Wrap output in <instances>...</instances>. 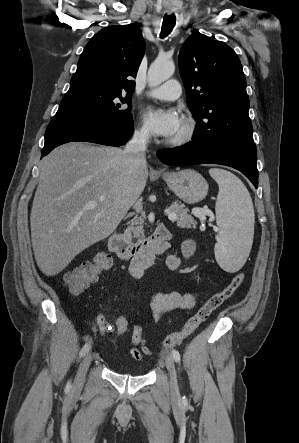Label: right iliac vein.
Returning a JSON list of instances; mask_svg holds the SVG:
<instances>
[{"label": "right iliac vein", "mask_w": 299, "mask_h": 443, "mask_svg": "<svg viewBox=\"0 0 299 443\" xmlns=\"http://www.w3.org/2000/svg\"><path fill=\"white\" fill-rule=\"evenodd\" d=\"M93 359L92 353H88L82 360L78 372L75 377L74 386L76 389H80L85 380L86 372L88 370V367Z\"/></svg>", "instance_id": "right-iliac-vein-1"}]
</instances>
